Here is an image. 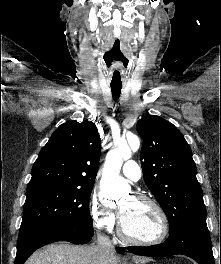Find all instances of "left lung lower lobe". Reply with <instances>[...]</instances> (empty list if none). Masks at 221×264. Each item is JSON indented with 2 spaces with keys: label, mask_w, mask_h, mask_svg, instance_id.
Masks as SVG:
<instances>
[{
  "label": "left lung lower lobe",
  "mask_w": 221,
  "mask_h": 264,
  "mask_svg": "<svg viewBox=\"0 0 221 264\" xmlns=\"http://www.w3.org/2000/svg\"><path fill=\"white\" fill-rule=\"evenodd\" d=\"M133 254L166 257L186 255L199 264H214L211 239L207 225L184 226L171 230L162 244L147 247H127Z\"/></svg>",
  "instance_id": "1"
}]
</instances>
